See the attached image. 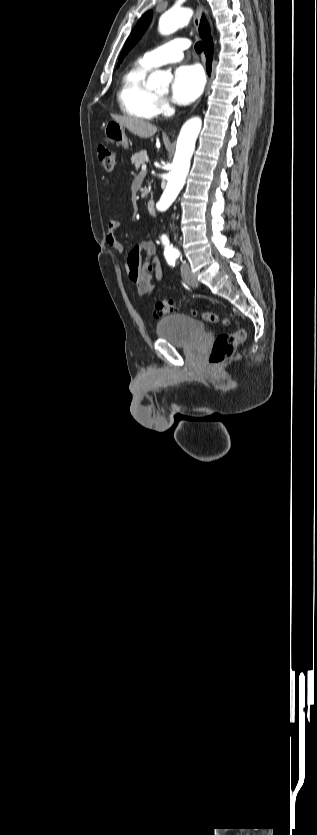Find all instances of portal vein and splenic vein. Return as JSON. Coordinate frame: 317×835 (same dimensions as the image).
I'll list each match as a JSON object with an SVG mask.
<instances>
[{
	"instance_id": "obj_1",
	"label": "portal vein and splenic vein",
	"mask_w": 317,
	"mask_h": 835,
	"mask_svg": "<svg viewBox=\"0 0 317 835\" xmlns=\"http://www.w3.org/2000/svg\"><path fill=\"white\" fill-rule=\"evenodd\" d=\"M141 169H142V171H146V170H147V166H146L145 164H143Z\"/></svg>"
}]
</instances>
